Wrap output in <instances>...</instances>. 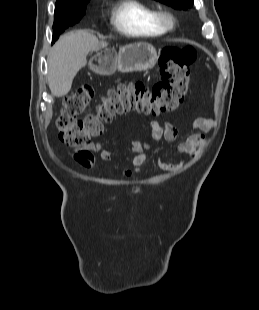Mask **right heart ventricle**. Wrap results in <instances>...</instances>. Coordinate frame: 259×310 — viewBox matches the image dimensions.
I'll use <instances>...</instances> for the list:
<instances>
[{
	"label": "right heart ventricle",
	"mask_w": 259,
	"mask_h": 310,
	"mask_svg": "<svg viewBox=\"0 0 259 310\" xmlns=\"http://www.w3.org/2000/svg\"><path fill=\"white\" fill-rule=\"evenodd\" d=\"M155 9L141 0L115 2L111 23L117 31L131 37H155L166 33L155 19Z\"/></svg>",
	"instance_id": "1"
}]
</instances>
